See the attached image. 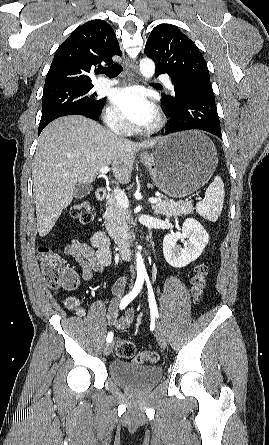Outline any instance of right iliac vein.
<instances>
[{"mask_svg": "<svg viewBox=\"0 0 269 445\" xmlns=\"http://www.w3.org/2000/svg\"><path fill=\"white\" fill-rule=\"evenodd\" d=\"M113 346V342H109L108 344H106L103 350V354L105 356H108L112 352Z\"/></svg>", "mask_w": 269, "mask_h": 445, "instance_id": "63e3f726", "label": "right iliac vein"}]
</instances>
